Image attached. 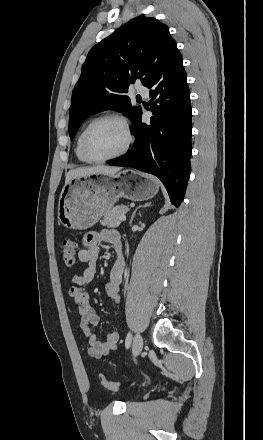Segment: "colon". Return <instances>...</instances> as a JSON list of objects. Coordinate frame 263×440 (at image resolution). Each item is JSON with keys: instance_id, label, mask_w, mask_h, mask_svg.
I'll return each mask as SVG.
<instances>
[{"instance_id": "5ec220e1", "label": "colon", "mask_w": 263, "mask_h": 440, "mask_svg": "<svg viewBox=\"0 0 263 440\" xmlns=\"http://www.w3.org/2000/svg\"><path fill=\"white\" fill-rule=\"evenodd\" d=\"M76 249L77 244L72 239L65 238L62 241L61 255L65 265L69 268H73L76 265ZM99 382L104 389L109 391H119L121 388L118 382L110 381L102 375L99 376Z\"/></svg>"}]
</instances>
